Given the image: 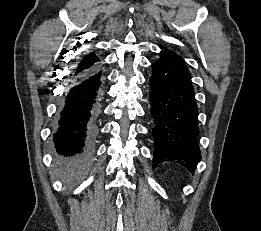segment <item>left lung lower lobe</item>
<instances>
[{
	"instance_id": "obj_1",
	"label": "left lung lower lobe",
	"mask_w": 261,
	"mask_h": 231,
	"mask_svg": "<svg viewBox=\"0 0 261 231\" xmlns=\"http://www.w3.org/2000/svg\"><path fill=\"white\" fill-rule=\"evenodd\" d=\"M150 78L153 118V168L166 161L194 172L201 159L198 144V109L190 74L160 54Z\"/></svg>"
}]
</instances>
